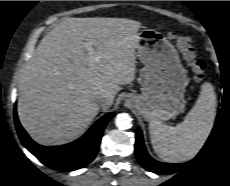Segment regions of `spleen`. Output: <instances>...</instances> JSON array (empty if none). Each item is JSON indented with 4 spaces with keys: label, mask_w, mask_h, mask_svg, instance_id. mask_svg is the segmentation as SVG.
<instances>
[{
    "label": "spleen",
    "mask_w": 230,
    "mask_h": 186,
    "mask_svg": "<svg viewBox=\"0 0 230 186\" xmlns=\"http://www.w3.org/2000/svg\"><path fill=\"white\" fill-rule=\"evenodd\" d=\"M216 94L205 82L201 93L183 122L167 127L150 121L151 143L157 155L168 162H184L194 158L205 144L216 117Z\"/></svg>",
    "instance_id": "spleen-1"
}]
</instances>
